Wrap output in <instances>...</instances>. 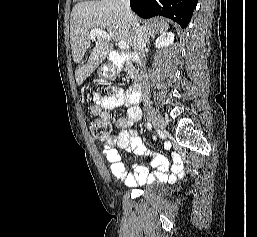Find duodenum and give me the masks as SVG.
<instances>
[{
  "instance_id": "1",
  "label": "duodenum",
  "mask_w": 257,
  "mask_h": 237,
  "mask_svg": "<svg viewBox=\"0 0 257 237\" xmlns=\"http://www.w3.org/2000/svg\"><path fill=\"white\" fill-rule=\"evenodd\" d=\"M139 62L140 57L136 53H121L113 58L114 68L119 69L122 65L127 62ZM127 99L132 103H137L141 99V84L139 81H135L126 90Z\"/></svg>"
}]
</instances>
